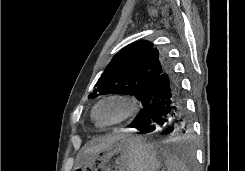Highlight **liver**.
Masks as SVG:
<instances>
[{
  "label": "liver",
  "instance_id": "liver-1",
  "mask_svg": "<svg viewBox=\"0 0 245 171\" xmlns=\"http://www.w3.org/2000/svg\"><path fill=\"white\" fill-rule=\"evenodd\" d=\"M118 137L119 135L104 137L98 143L85 147L82 151V154L83 155L96 154L97 152H100L101 150L110 147Z\"/></svg>",
  "mask_w": 245,
  "mask_h": 171
}]
</instances>
